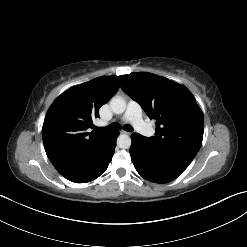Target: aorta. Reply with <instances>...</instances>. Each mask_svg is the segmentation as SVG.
<instances>
[{
  "label": "aorta",
  "instance_id": "aorta-1",
  "mask_svg": "<svg viewBox=\"0 0 247 247\" xmlns=\"http://www.w3.org/2000/svg\"><path fill=\"white\" fill-rule=\"evenodd\" d=\"M111 110L115 114H122L126 109V102L120 96H115L110 101ZM117 146L121 149H128L131 146V138L127 134H122L117 138Z\"/></svg>",
  "mask_w": 247,
  "mask_h": 247
}]
</instances>
